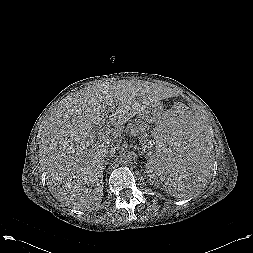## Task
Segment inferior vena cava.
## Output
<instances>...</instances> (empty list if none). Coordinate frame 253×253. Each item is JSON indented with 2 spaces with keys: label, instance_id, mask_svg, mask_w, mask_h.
I'll return each mask as SVG.
<instances>
[{
  "label": "inferior vena cava",
  "instance_id": "obj_1",
  "mask_svg": "<svg viewBox=\"0 0 253 253\" xmlns=\"http://www.w3.org/2000/svg\"><path fill=\"white\" fill-rule=\"evenodd\" d=\"M116 152V147L115 146H110V145H108V146H106L105 148H104V157H111V156H113V154Z\"/></svg>",
  "mask_w": 253,
  "mask_h": 253
}]
</instances>
